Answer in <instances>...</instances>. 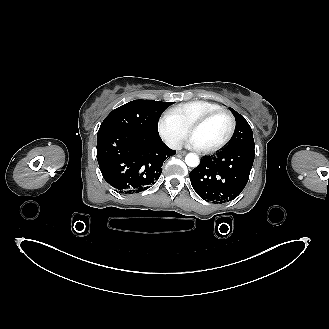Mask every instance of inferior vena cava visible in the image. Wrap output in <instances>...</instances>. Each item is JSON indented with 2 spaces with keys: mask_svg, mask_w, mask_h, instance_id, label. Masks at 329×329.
I'll return each instance as SVG.
<instances>
[{
  "mask_svg": "<svg viewBox=\"0 0 329 329\" xmlns=\"http://www.w3.org/2000/svg\"><path fill=\"white\" fill-rule=\"evenodd\" d=\"M167 146L171 149H174V150H180L182 148L181 143L178 142V141H175V140L168 141Z\"/></svg>",
  "mask_w": 329,
  "mask_h": 329,
  "instance_id": "inferior-vena-cava-1",
  "label": "inferior vena cava"
}]
</instances>
